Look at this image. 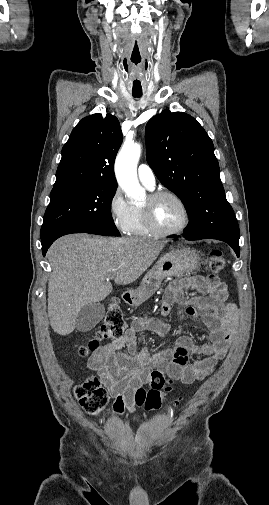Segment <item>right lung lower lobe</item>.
I'll use <instances>...</instances> for the list:
<instances>
[{
	"mask_svg": "<svg viewBox=\"0 0 269 505\" xmlns=\"http://www.w3.org/2000/svg\"><path fill=\"white\" fill-rule=\"evenodd\" d=\"M71 233H85V232L77 230V229H73V228L62 227V228L53 229V230L49 231L47 234H45L43 237H41L43 255L46 254L50 245L57 238H59L63 235H66V234H71Z\"/></svg>",
	"mask_w": 269,
	"mask_h": 505,
	"instance_id": "1",
	"label": "right lung lower lobe"
}]
</instances>
